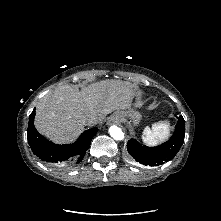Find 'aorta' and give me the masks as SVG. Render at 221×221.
Instances as JSON below:
<instances>
[{"mask_svg":"<svg viewBox=\"0 0 221 221\" xmlns=\"http://www.w3.org/2000/svg\"><path fill=\"white\" fill-rule=\"evenodd\" d=\"M109 133H110L111 137L115 140H123L124 139L123 131L121 130V128H119L116 125H112L109 128Z\"/></svg>","mask_w":221,"mask_h":221,"instance_id":"aorta-1","label":"aorta"}]
</instances>
